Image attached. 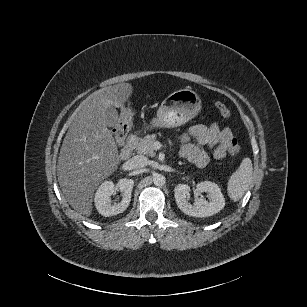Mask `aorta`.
Masks as SVG:
<instances>
[{
    "mask_svg": "<svg viewBox=\"0 0 307 307\" xmlns=\"http://www.w3.org/2000/svg\"><path fill=\"white\" fill-rule=\"evenodd\" d=\"M153 182L157 186L164 185L166 182V177L163 174L155 173L153 175Z\"/></svg>",
    "mask_w": 307,
    "mask_h": 307,
    "instance_id": "aorta-1",
    "label": "aorta"
}]
</instances>
